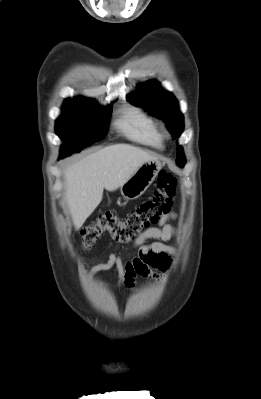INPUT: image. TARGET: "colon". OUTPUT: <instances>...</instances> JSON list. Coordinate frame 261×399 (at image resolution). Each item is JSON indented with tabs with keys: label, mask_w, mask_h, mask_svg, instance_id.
<instances>
[{
	"label": "colon",
	"mask_w": 261,
	"mask_h": 399,
	"mask_svg": "<svg viewBox=\"0 0 261 399\" xmlns=\"http://www.w3.org/2000/svg\"><path fill=\"white\" fill-rule=\"evenodd\" d=\"M174 194V176L167 171H160L153 196L133 209L126 217L121 218L114 213L106 212L85 226L80 233L83 248H92L104 234L110 235L120 243L137 239L169 213Z\"/></svg>",
	"instance_id": "1"
}]
</instances>
